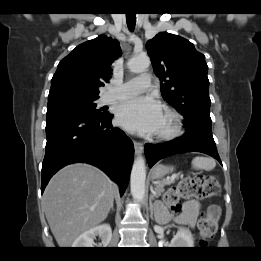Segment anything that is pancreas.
Instances as JSON below:
<instances>
[{
	"label": "pancreas",
	"instance_id": "pancreas-1",
	"mask_svg": "<svg viewBox=\"0 0 261 261\" xmlns=\"http://www.w3.org/2000/svg\"><path fill=\"white\" fill-rule=\"evenodd\" d=\"M170 182L169 181H162L160 183H158L155 188H154V197H159L161 195V193L164 192V186L166 184H169Z\"/></svg>",
	"mask_w": 261,
	"mask_h": 261
}]
</instances>
